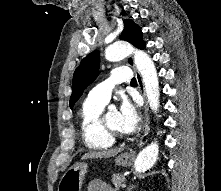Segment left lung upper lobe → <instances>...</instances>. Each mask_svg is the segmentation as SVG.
Instances as JSON below:
<instances>
[{
	"label": "left lung upper lobe",
	"instance_id": "5c2ea615",
	"mask_svg": "<svg viewBox=\"0 0 221 191\" xmlns=\"http://www.w3.org/2000/svg\"><path fill=\"white\" fill-rule=\"evenodd\" d=\"M125 27L120 39L125 40L134 46L144 49L145 42L142 40L140 28L130 19L124 21ZM100 53L94 51L88 54L77 67L73 75V93L70 98V108L81 97L83 91L99 75Z\"/></svg>",
	"mask_w": 221,
	"mask_h": 191
}]
</instances>
